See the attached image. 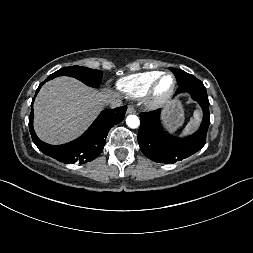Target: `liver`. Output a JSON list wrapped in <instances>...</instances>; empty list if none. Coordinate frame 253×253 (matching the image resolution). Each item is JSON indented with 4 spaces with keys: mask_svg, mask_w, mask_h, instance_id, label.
Listing matches in <instances>:
<instances>
[{
    "mask_svg": "<svg viewBox=\"0 0 253 253\" xmlns=\"http://www.w3.org/2000/svg\"><path fill=\"white\" fill-rule=\"evenodd\" d=\"M120 98L111 89H92L77 79L58 77L47 82L34 102V128L46 143L58 145L82 134L104 104Z\"/></svg>",
    "mask_w": 253,
    "mask_h": 253,
    "instance_id": "1",
    "label": "liver"
}]
</instances>
